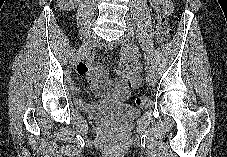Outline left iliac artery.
Returning a JSON list of instances; mask_svg holds the SVG:
<instances>
[{"instance_id":"1","label":"left iliac artery","mask_w":227,"mask_h":157,"mask_svg":"<svg viewBox=\"0 0 227 157\" xmlns=\"http://www.w3.org/2000/svg\"><path fill=\"white\" fill-rule=\"evenodd\" d=\"M133 37H138V29H133ZM144 57H145V60H146V67H147V69L148 70H150V64H149V58H148V56H147V54H146V52H144Z\"/></svg>"}]
</instances>
